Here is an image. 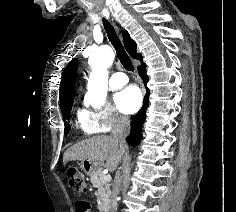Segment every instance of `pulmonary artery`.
Listing matches in <instances>:
<instances>
[{
  "label": "pulmonary artery",
  "mask_w": 236,
  "mask_h": 212,
  "mask_svg": "<svg viewBox=\"0 0 236 212\" xmlns=\"http://www.w3.org/2000/svg\"><path fill=\"white\" fill-rule=\"evenodd\" d=\"M128 82V77L122 72L113 74L109 80V87L111 89H118Z\"/></svg>",
  "instance_id": "1"
}]
</instances>
